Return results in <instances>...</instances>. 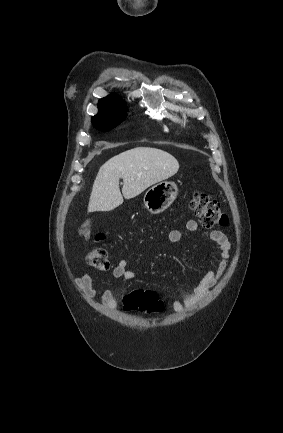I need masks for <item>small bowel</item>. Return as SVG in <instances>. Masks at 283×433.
Segmentation results:
<instances>
[{
  "label": "small bowel",
  "instance_id": "small-bowel-1",
  "mask_svg": "<svg viewBox=\"0 0 283 433\" xmlns=\"http://www.w3.org/2000/svg\"><path fill=\"white\" fill-rule=\"evenodd\" d=\"M201 232L210 241L214 242L221 251L219 264L216 268H211L206 272L198 284L191 289L182 300L175 299L172 303L173 310L177 313H183L188 308L194 306L198 301L207 296L214 285L217 284L222 277L230 257L229 251L231 243L223 232L219 230L208 231L201 229L198 223L194 220H189L184 224L183 229H173L168 234V239L172 243L179 242L183 239L185 232ZM113 276L121 279L124 282L130 281L135 277V273L128 269V262L124 259L120 260L113 269ZM77 284L81 290L89 297L99 295L103 305L115 308L117 299L114 293L109 289L97 288L93 284V276L90 273H85L77 278Z\"/></svg>",
  "mask_w": 283,
  "mask_h": 433
}]
</instances>
